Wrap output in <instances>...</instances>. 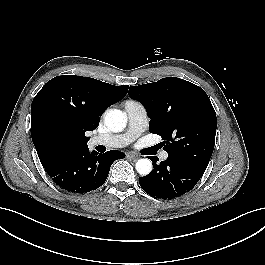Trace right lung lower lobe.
<instances>
[{
    "label": "right lung lower lobe",
    "instance_id": "right-lung-lower-lobe-1",
    "mask_svg": "<svg viewBox=\"0 0 265 265\" xmlns=\"http://www.w3.org/2000/svg\"><path fill=\"white\" fill-rule=\"evenodd\" d=\"M124 157L117 150L99 154L86 148L41 163L57 185L67 191L85 193L99 188L106 181L112 163Z\"/></svg>",
    "mask_w": 265,
    "mask_h": 265
}]
</instances>
